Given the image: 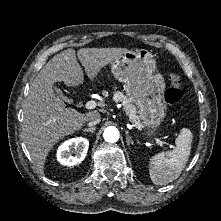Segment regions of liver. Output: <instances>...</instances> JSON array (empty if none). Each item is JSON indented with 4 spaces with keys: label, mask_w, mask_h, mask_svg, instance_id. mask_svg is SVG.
I'll use <instances>...</instances> for the list:
<instances>
[{
    "label": "liver",
    "mask_w": 221,
    "mask_h": 221,
    "mask_svg": "<svg viewBox=\"0 0 221 221\" xmlns=\"http://www.w3.org/2000/svg\"><path fill=\"white\" fill-rule=\"evenodd\" d=\"M126 48H81L77 57L88 78L93 81L107 64L125 53ZM64 82L68 87L84 82V73L74 49L55 55L38 73L30 85L24 104L22 133L24 143L40 173L44 172L46 158L52 147L65 136L80 130L83 125L100 116L97 111L80 113L54 93V83Z\"/></svg>",
    "instance_id": "6515ba94"
}]
</instances>
